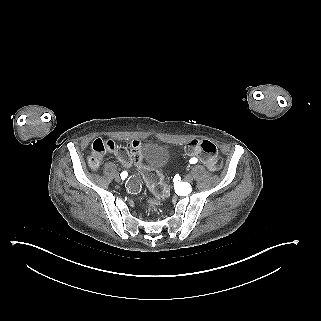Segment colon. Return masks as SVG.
Returning a JSON list of instances; mask_svg holds the SVG:
<instances>
[{
  "label": "colon",
  "mask_w": 321,
  "mask_h": 321,
  "mask_svg": "<svg viewBox=\"0 0 321 321\" xmlns=\"http://www.w3.org/2000/svg\"><path fill=\"white\" fill-rule=\"evenodd\" d=\"M128 147L129 150L122 148L113 140L97 139L91 145L88 164L92 168H97L106 152L117 153L119 159L125 166H131L132 159H134L146 183L154 193L160 197L166 196L168 193V184L161 173L158 170L144 166L138 159L140 143L133 141ZM185 150L189 156L199 159L212 171H217L222 167V159L219 156L217 147L211 141L193 139L186 145ZM150 206H153V203H150Z\"/></svg>",
  "instance_id": "colon-1"
}]
</instances>
